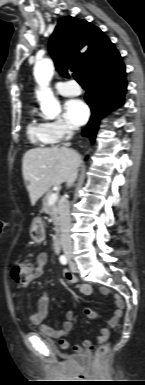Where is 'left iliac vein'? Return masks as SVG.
Segmentation results:
<instances>
[{
  "mask_svg": "<svg viewBox=\"0 0 145 385\" xmlns=\"http://www.w3.org/2000/svg\"><path fill=\"white\" fill-rule=\"evenodd\" d=\"M69 261H70V270L72 272H76L77 271V267H76L75 263L71 260V258H69Z\"/></svg>",
  "mask_w": 145,
  "mask_h": 385,
  "instance_id": "obj_1",
  "label": "left iliac vein"
}]
</instances>
